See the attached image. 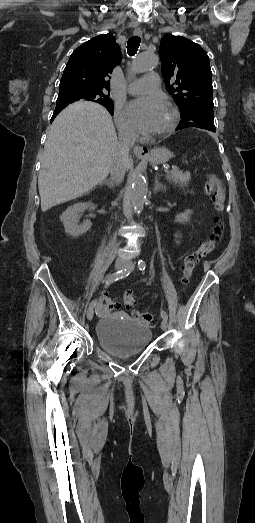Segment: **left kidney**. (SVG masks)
<instances>
[{
	"mask_svg": "<svg viewBox=\"0 0 255 523\" xmlns=\"http://www.w3.org/2000/svg\"><path fill=\"white\" fill-rule=\"evenodd\" d=\"M190 214H192L191 210H186L183 214H178V216H175V222H181V224L188 222Z\"/></svg>",
	"mask_w": 255,
	"mask_h": 523,
	"instance_id": "5707ae66",
	"label": "left kidney"
}]
</instances>
